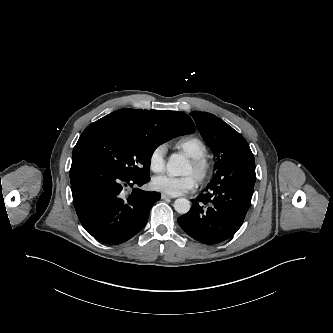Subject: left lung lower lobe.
Returning <instances> with one entry per match:
<instances>
[{
  "instance_id": "0a47b994",
  "label": "left lung lower lobe",
  "mask_w": 333,
  "mask_h": 333,
  "mask_svg": "<svg viewBox=\"0 0 333 333\" xmlns=\"http://www.w3.org/2000/svg\"><path fill=\"white\" fill-rule=\"evenodd\" d=\"M256 181L251 150L233 156L216 172L205 191L192 200L190 211L178 218L192 238L213 245L234 235L251 204Z\"/></svg>"
}]
</instances>
